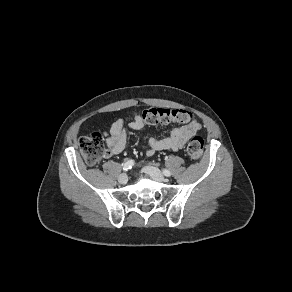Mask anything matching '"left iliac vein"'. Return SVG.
Listing matches in <instances>:
<instances>
[{
    "instance_id": "left-iliac-vein-1",
    "label": "left iliac vein",
    "mask_w": 292,
    "mask_h": 292,
    "mask_svg": "<svg viewBox=\"0 0 292 292\" xmlns=\"http://www.w3.org/2000/svg\"><path fill=\"white\" fill-rule=\"evenodd\" d=\"M143 171L148 174L149 176H151L154 180L158 181V182H165L166 179L164 177V175L162 174V172L153 166H145L143 168Z\"/></svg>"
}]
</instances>
